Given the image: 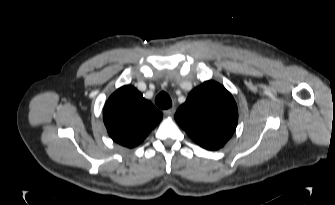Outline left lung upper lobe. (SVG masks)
<instances>
[{
	"label": "left lung upper lobe",
	"mask_w": 335,
	"mask_h": 205,
	"mask_svg": "<svg viewBox=\"0 0 335 205\" xmlns=\"http://www.w3.org/2000/svg\"><path fill=\"white\" fill-rule=\"evenodd\" d=\"M175 120L198 145L217 150L236 129L237 105L222 85L207 81L190 92L177 110Z\"/></svg>",
	"instance_id": "1"
}]
</instances>
